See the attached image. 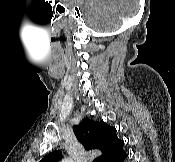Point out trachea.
Returning a JSON list of instances; mask_svg holds the SVG:
<instances>
[{
  "label": "trachea",
  "instance_id": "1",
  "mask_svg": "<svg viewBox=\"0 0 175 162\" xmlns=\"http://www.w3.org/2000/svg\"><path fill=\"white\" fill-rule=\"evenodd\" d=\"M93 162H98V160H97V159H95V160H93Z\"/></svg>",
  "mask_w": 175,
  "mask_h": 162
}]
</instances>
